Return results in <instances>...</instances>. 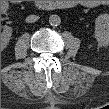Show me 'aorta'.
Instances as JSON below:
<instances>
[{
	"label": "aorta",
	"mask_w": 109,
	"mask_h": 109,
	"mask_svg": "<svg viewBox=\"0 0 109 109\" xmlns=\"http://www.w3.org/2000/svg\"><path fill=\"white\" fill-rule=\"evenodd\" d=\"M60 23H61V18L58 15H56V14L50 15L49 24L51 26H58V25H60Z\"/></svg>",
	"instance_id": "762f6f07"
}]
</instances>
